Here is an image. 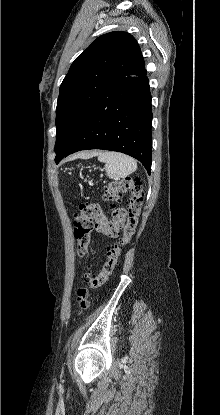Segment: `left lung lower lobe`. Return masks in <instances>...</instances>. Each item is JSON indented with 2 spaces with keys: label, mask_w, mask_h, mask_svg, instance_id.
I'll list each match as a JSON object with an SVG mask.
<instances>
[{
  "label": "left lung lower lobe",
  "mask_w": 220,
  "mask_h": 415,
  "mask_svg": "<svg viewBox=\"0 0 220 415\" xmlns=\"http://www.w3.org/2000/svg\"><path fill=\"white\" fill-rule=\"evenodd\" d=\"M146 69L114 80L86 117L70 147L55 157L80 150L118 151L139 160L151 172L152 109Z\"/></svg>",
  "instance_id": "obj_1"
}]
</instances>
